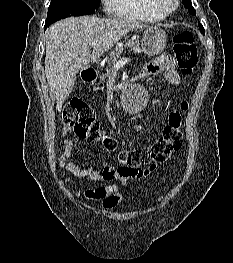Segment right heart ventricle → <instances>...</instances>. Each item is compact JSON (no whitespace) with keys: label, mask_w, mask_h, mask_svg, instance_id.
Here are the masks:
<instances>
[{"label":"right heart ventricle","mask_w":233,"mask_h":263,"mask_svg":"<svg viewBox=\"0 0 233 263\" xmlns=\"http://www.w3.org/2000/svg\"><path fill=\"white\" fill-rule=\"evenodd\" d=\"M114 11L124 16L141 21H160L165 18L154 6L152 0H115Z\"/></svg>","instance_id":"1"}]
</instances>
